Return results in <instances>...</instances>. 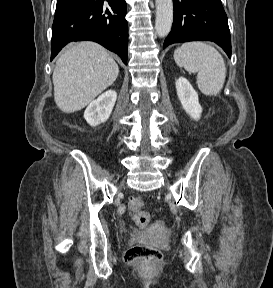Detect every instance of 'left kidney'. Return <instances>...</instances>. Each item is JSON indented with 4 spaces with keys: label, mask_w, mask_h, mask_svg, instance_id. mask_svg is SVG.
Masks as SVG:
<instances>
[{
    "label": "left kidney",
    "mask_w": 273,
    "mask_h": 288,
    "mask_svg": "<svg viewBox=\"0 0 273 288\" xmlns=\"http://www.w3.org/2000/svg\"><path fill=\"white\" fill-rule=\"evenodd\" d=\"M175 85L183 109L191 118L198 120L201 116L202 108L199 104L197 92L184 77L178 78Z\"/></svg>",
    "instance_id": "1"
}]
</instances>
